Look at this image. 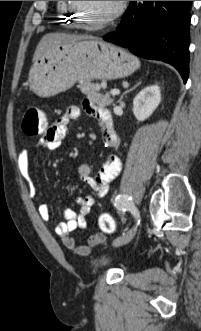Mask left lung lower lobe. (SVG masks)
Listing matches in <instances>:
<instances>
[{"label": "left lung lower lobe", "mask_w": 201, "mask_h": 331, "mask_svg": "<svg viewBox=\"0 0 201 331\" xmlns=\"http://www.w3.org/2000/svg\"><path fill=\"white\" fill-rule=\"evenodd\" d=\"M192 1H131L121 24L104 40L143 58L173 65L186 83Z\"/></svg>", "instance_id": "left-lung-lower-lobe-1"}]
</instances>
